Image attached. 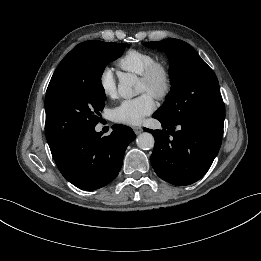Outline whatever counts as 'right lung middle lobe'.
I'll list each match as a JSON object with an SVG mask.
<instances>
[{
	"instance_id": "right-lung-middle-lobe-1",
	"label": "right lung middle lobe",
	"mask_w": 261,
	"mask_h": 261,
	"mask_svg": "<svg viewBox=\"0 0 261 261\" xmlns=\"http://www.w3.org/2000/svg\"><path fill=\"white\" fill-rule=\"evenodd\" d=\"M126 46L102 41L82 44L77 52V74L46 92V138L51 151L98 124L106 99L102 73L106 63L118 58Z\"/></svg>"
}]
</instances>
